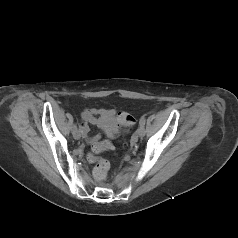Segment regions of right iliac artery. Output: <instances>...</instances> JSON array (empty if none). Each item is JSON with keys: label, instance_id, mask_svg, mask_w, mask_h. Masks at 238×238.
<instances>
[{"label": "right iliac artery", "instance_id": "1", "mask_svg": "<svg viewBox=\"0 0 238 238\" xmlns=\"http://www.w3.org/2000/svg\"><path fill=\"white\" fill-rule=\"evenodd\" d=\"M75 130H77V125H76V124H74V125L72 126V131H75Z\"/></svg>", "mask_w": 238, "mask_h": 238}]
</instances>
